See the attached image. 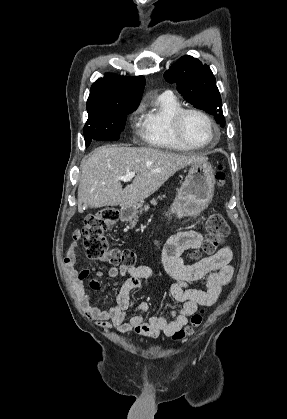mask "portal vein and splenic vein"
<instances>
[{
  "mask_svg": "<svg viewBox=\"0 0 287 419\" xmlns=\"http://www.w3.org/2000/svg\"><path fill=\"white\" fill-rule=\"evenodd\" d=\"M134 176H135V172H129L124 176L118 177V179L123 182H128V181H131Z\"/></svg>",
  "mask_w": 287,
  "mask_h": 419,
  "instance_id": "obj_1",
  "label": "portal vein and splenic vein"
}]
</instances>
